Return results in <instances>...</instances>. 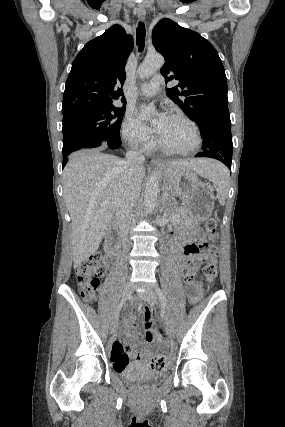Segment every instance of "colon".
Wrapping results in <instances>:
<instances>
[{
	"label": "colon",
	"instance_id": "1",
	"mask_svg": "<svg viewBox=\"0 0 285 427\" xmlns=\"http://www.w3.org/2000/svg\"><path fill=\"white\" fill-rule=\"evenodd\" d=\"M216 231L217 222L211 218L205 222L202 229H192L189 232L191 242L185 246V253L189 258L190 268L185 271V279L188 285V296L191 300L197 299L201 292V280L198 277L200 272H204L210 280L216 276L217 267L213 259L206 265L196 260V256L201 251H207L212 257L216 255V246L205 240L207 235H214ZM105 271V262L100 257H91L76 265V280L80 295L84 300L92 301L96 297ZM127 349L129 348L127 347ZM149 365L153 370H163L169 365V360L166 355L161 354L150 359Z\"/></svg>",
	"mask_w": 285,
	"mask_h": 427
}]
</instances>
